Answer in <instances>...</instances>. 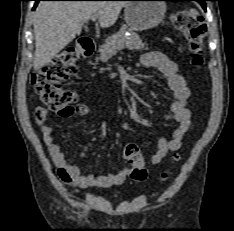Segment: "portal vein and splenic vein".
<instances>
[{
	"instance_id": "18ae733b",
	"label": "portal vein and splenic vein",
	"mask_w": 234,
	"mask_h": 231,
	"mask_svg": "<svg viewBox=\"0 0 234 231\" xmlns=\"http://www.w3.org/2000/svg\"><path fill=\"white\" fill-rule=\"evenodd\" d=\"M98 18V15L97 14H94L91 16V20L92 21H96V19Z\"/></svg>"
}]
</instances>
